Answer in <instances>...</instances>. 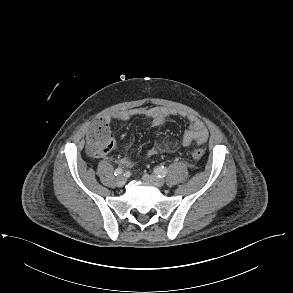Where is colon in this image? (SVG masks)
<instances>
[{
  "instance_id": "obj_1",
  "label": "colon",
  "mask_w": 293,
  "mask_h": 293,
  "mask_svg": "<svg viewBox=\"0 0 293 293\" xmlns=\"http://www.w3.org/2000/svg\"><path fill=\"white\" fill-rule=\"evenodd\" d=\"M114 147L108 124L103 119L95 120L87 133V148L93 157H102ZM192 155L194 159L201 160L204 150L193 143Z\"/></svg>"
}]
</instances>
